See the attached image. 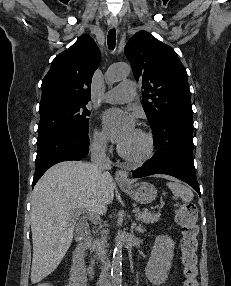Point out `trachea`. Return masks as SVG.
Here are the masks:
<instances>
[{
  "mask_svg": "<svg viewBox=\"0 0 231 286\" xmlns=\"http://www.w3.org/2000/svg\"><path fill=\"white\" fill-rule=\"evenodd\" d=\"M107 44L110 50H114L116 45V31L115 28H112L108 32Z\"/></svg>",
  "mask_w": 231,
  "mask_h": 286,
  "instance_id": "obj_1",
  "label": "trachea"
}]
</instances>
